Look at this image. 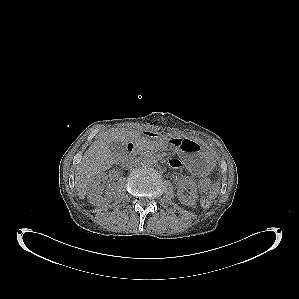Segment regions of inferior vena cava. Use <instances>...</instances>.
<instances>
[{
    "mask_svg": "<svg viewBox=\"0 0 299 299\" xmlns=\"http://www.w3.org/2000/svg\"><path fill=\"white\" fill-rule=\"evenodd\" d=\"M139 164L138 160H130L127 164L128 167L132 168V167H136Z\"/></svg>",
    "mask_w": 299,
    "mask_h": 299,
    "instance_id": "602c4592",
    "label": "inferior vena cava"
}]
</instances>
